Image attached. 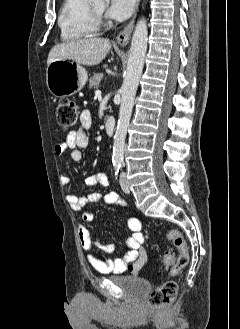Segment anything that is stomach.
<instances>
[{
  "label": "stomach",
  "instance_id": "1",
  "mask_svg": "<svg viewBox=\"0 0 240 329\" xmlns=\"http://www.w3.org/2000/svg\"><path fill=\"white\" fill-rule=\"evenodd\" d=\"M87 78V72L81 65L67 59L50 63L46 71L47 87L51 94L58 98L79 92Z\"/></svg>",
  "mask_w": 240,
  "mask_h": 329
}]
</instances>
